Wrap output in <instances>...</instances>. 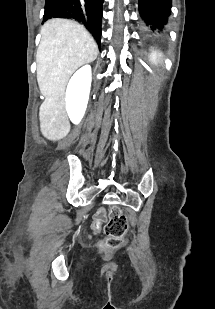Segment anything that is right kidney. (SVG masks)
<instances>
[{
  "instance_id": "right-kidney-1",
  "label": "right kidney",
  "mask_w": 215,
  "mask_h": 309,
  "mask_svg": "<svg viewBox=\"0 0 215 309\" xmlns=\"http://www.w3.org/2000/svg\"><path fill=\"white\" fill-rule=\"evenodd\" d=\"M91 80V66L90 64H85V66H81L79 70H76L68 82L65 104L68 116L74 124H78L85 114L89 100Z\"/></svg>"
}]
</instances>
